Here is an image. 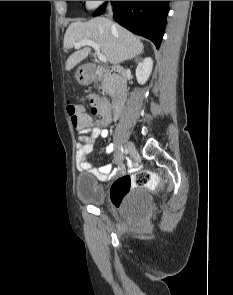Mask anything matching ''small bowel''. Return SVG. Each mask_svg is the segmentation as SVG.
<instances>
[{"instance_id": "small-bowel-1", "label": "small bowel", "mask_w": 233, "mask_h": 295, "mask_svg": "<svg viewBox=\"0 0 233 295\" xmlns=\"http://www.w3.org/2000/svg\"><path fill=\"white\" fill-rule=\"evenodd\" d=\"M96 103L105 111L102 122L84 129H79V142L77 143L76 167L78 171L91 173L100 181H108L112 175L123 168L121 157L114 158V164H107L100 168H93L89 162V154L94 148L95 141L98 137L107 138L109 135L108 124L112 117L108 115V106L103 99H96ZM114 143L106 146L105 153L110 154L114 151Z\"/></svg>"}]
</instances>
